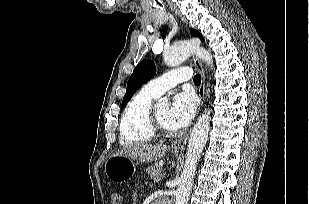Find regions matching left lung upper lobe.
I'll return each mask as SVG.
<instances>
[{"instance_id":"left-lung-upper-lobe-1","label":"left lung upper lobe","mask_w":309,"mask_h":204,"mask_svg":"<svg viewBox=\"0 0 309 204\" xmlns=\"http://www.w3.org/2000/svg\"><path fill=\"white\" fill-rule=\"evenodd\" d=\"M194 37H199L204 41L203 36L195 29H190ZM155 65L151 60H145L137 65L127 83L126 94L123 98L122 107L130 100L133 94L147 81L155 75Z\"/></svg>"}]
</instances>
